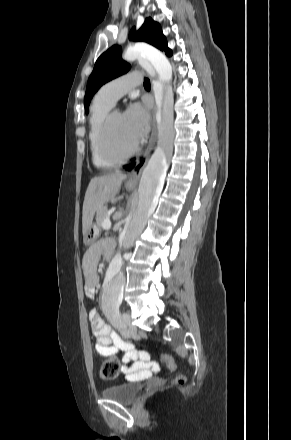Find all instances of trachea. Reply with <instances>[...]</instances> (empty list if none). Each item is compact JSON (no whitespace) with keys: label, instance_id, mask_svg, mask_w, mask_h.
Listing matches in <instances>:
<instances>
[{"label":"trachea","instance_id":"trachea-1","mask_svg":"<svg viewBox=\"0 0 291 440\" xmlns=\"http://www.w3.org/2000/svg\"><path fill=\"white\" fill-rule=\"evenodd\" d=\"M144 87L145 88H150V80L148 78L144 79Z\"/></svg>","mask_w":291,"mask_h":440}]
</instances>
